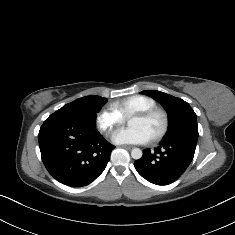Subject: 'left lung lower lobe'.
Segmentation results:
<instances>
[{
	"label": "left lung lower lobe",
	"mask_w": 235,
	"mask_h": 235,
	"mask_svg": "<svg viewBox=\"0 0 235 235\" xmlns=\"http://www.w3.org/2000/svg\"><path fill=\"white\" fill-rule=\"evenodd\" d=\"M196 144L186 140L162 141L154 152L146 149L134 162L137 172L154 184H169L178 179L193 160Z\"/></svg>",
	"instance_id": "1"
}]
</instances>
